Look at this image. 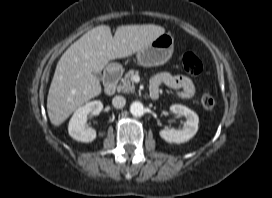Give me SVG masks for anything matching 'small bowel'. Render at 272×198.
Masks as SVG:
<instances>
[{
	"label": "small bowel",
	"instance_id": "obj_1",
	"mask_svg": "<svg viewBox=\"0 0 272 198\" xmlns=\"http://www.w3.org/2000/svg\"><path fill=\"white\" fill-rule=\"evenodd\" d=\"M165 84L175 89L179 97L183 99L191 98L195 93V87L191 79L186 76L172 75L167 72L155 75L151 81V96L156 97L158 87Z\"/></svg>",
	"mask_w": 272,
	"mask_h": 198
}]
</instances>
